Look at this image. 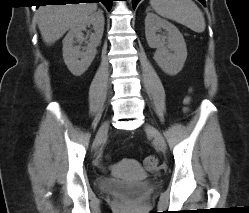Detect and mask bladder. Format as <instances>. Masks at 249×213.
<instances>
[{
	"label": "bladder",
	"mask_w": 249,
	"mask_h": 213,
	"mask_svg": "<svg viewBox=\"0 0 249 213\" xmlns=\"http://www.w3.org/2000/svg\"><path fill=\"white\" fill-rule=\"evenodd\" d=\"M100 188L107 193L128 197H141L154 189L151 181H125L116 178H103L99 182Z\"/></svg>",
	"instance_id": "1"
}]
</instances>
